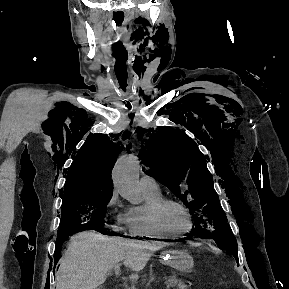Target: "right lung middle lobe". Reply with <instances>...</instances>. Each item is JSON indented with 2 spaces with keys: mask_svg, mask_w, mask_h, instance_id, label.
Wrapping results in <instances>:
<instances>
[{
  "mask_svg": "<svg viewBox=\"0 0 289 289\" xmlns=\"http://www.w3.org/2000/svg\"><path fill=\"white\" fill-rule=\"evenodd\" d=\"M111 197V192H103L62 198L63 207L57 238L66 239L83 230L109 234L110 232L103 229V225L106 205Z\"/></svg>",
  "mask_w": 289,
  "mask_h": 289,
  "instance_id": "1",
  "label": "right lung middle lobe"
}]
</instances>
